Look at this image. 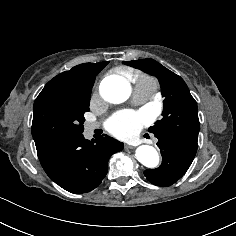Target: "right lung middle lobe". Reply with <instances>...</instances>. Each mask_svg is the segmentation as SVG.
<instances>
[{"instance_id":"dd1d6c3e","label":"right lung middle lobe","mask_w":236,"mask_h":236,"mask_svg":"<svg viewBox=\"0 0 236 236\" xmlns=\"http://www.w3.org/2000/svg\"><path fill=\"white\" fill-rule=\"evenodd\" d=\"M90 97H37L34 106L32 136L35 143L82 134L84 113L89 111Z\"/></svg>"}]
</instances>
